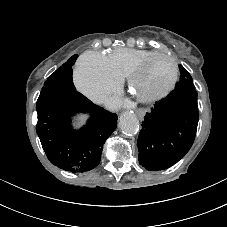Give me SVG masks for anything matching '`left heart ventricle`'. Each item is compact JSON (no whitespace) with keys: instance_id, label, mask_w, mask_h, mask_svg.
Instances as JSON below:
<instances>
[{"instance_id":"left-heart-ventricle-1","label":"left heart ventricle","mask_w":227,"mask_h":227,"mask_svg":"<svg viewBox=\"0 0 227 227\" xmlns=\"http://www.w3.org/2000/svg\"><path fill=\"white\" fill-rule=\"evenodd\" d=\"M173 75V65L167 58L153 60L145 69L136 85V93L148 94L164 88Z\"/></svg>"}]
</instances>
